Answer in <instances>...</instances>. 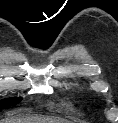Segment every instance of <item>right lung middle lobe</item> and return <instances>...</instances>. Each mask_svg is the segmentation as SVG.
Listing matches in <instances>:
<instances>
[{
  "label": "right lung middle lobe",
  "mask_w": 118,
  "mask_h": 123,
  "mask_svg": "<svg viewBox=\"0 0 118 123\" xmlns=\"http://www.w3.org/2000/svg\"><path fill=\"white\" fill-rule=\"evenodd\" d=\"M22 98H10L0 101V109L7 108L18 104Z\"/></svg>",
  "instance_id": "1"
}]
</instances>
